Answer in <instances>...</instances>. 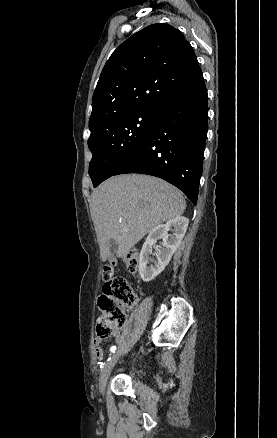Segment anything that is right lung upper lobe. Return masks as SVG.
Listing matches in <instances>:
<instances>
[{
    "label": "right lung upper lobe",
    "mask_w": 277,
    "mask_h": 438,
    "mask_svg": "<svg viewBox=\"0 0 277 438\" xmlns=\"http://www.w3.org/2000/svg\"><path fill=\"white\" fill-rule=\"evenodd\" d=\"M167 65L171 67L164 71ZM201 77L193 48L178 29L163 23L147 26L106 62L93 94L89 127L110 117L158 108Z\"/></svg>",
    "instance_id": "obj_1"
}]
</instances>
